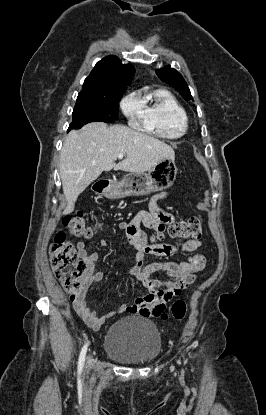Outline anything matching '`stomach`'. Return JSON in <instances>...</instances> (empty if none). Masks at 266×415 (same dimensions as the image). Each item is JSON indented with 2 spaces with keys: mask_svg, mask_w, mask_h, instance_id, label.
I'll return each mask as SVG.
<instances>
[{
  "mask_svg": "<svg viewBox=\"0 0 266 415\" xmlns=\"http://www.w3.org/2000/svg\"><path fill=\"white\" fill-rule=\"evenodd\" d=\"M177 167L174 160L164 159L149 172L126 175L120 182L109 183L102 191L108 199L128 196H143L171 187L176 179Z\"/></svg>",
  "mask_w": 266,
  "mask_h": 415,
  "instance_id": "0dacf381",
  "label": "stomach"
}]
</instances>
